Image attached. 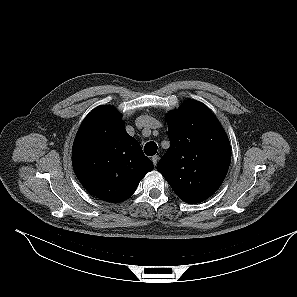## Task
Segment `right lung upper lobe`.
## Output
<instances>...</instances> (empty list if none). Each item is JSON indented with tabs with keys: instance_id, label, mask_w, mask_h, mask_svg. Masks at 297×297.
<instances>
[{
	"instance_id": "1",
	"label": "right lung upper lobe",
	"mask_w": 297,
	"mask_h": 297,
	"mask_svg": "<svg viewBox=\"0 0 297 297\" xmlns=\"http://www.w3.org/2000/svg\"><path fill=\"white\" fill-rule=\"evenodd\" d=\"M72 165L85 189L109 202L131 197L154 168L111 106L94 109L82 122L73 144Z\"/></svg>"
}]
</instances>
